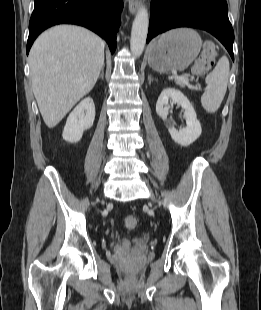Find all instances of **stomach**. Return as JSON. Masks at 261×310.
Listing matches in <instances>:
<instances>
[{
    "instance_id": "obj_1",
    "label": "stomach",
    "mask_w": 261,
    "mask_h": 310,
    "mask_svg": "<svg viewBox=\"0 0 261 310\" xmlns=\"http://www.w3.org/2000/svg\"><path fill=\"white\" fill-rule=\"evenodd\" d=\"M202 40L189 28L168 31L148 49V63L159 72L185 70L198 56Z\"/></svg>"
}]
</instances>
